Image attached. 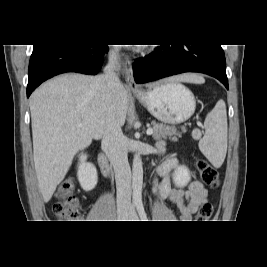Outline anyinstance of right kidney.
I'll return each mask as SVG.
<instances>
[{"label": "right kidney", "instance_id": "right-kidney-1", "mask_svg": "<svg viewBox=\"0 0 267 267\" xmlns=\"http://www.w3.org/2000/svg\"><path fill=\"white\" fill-rule=\"evenodd\" d=\"M86 160V154L79 155L77 177L83 190L90 191L97 185L98 175L96 167L92 163L86 162Z\"/></svg>", "mask_w": 267, "mask_h": 267}]
</instances>
